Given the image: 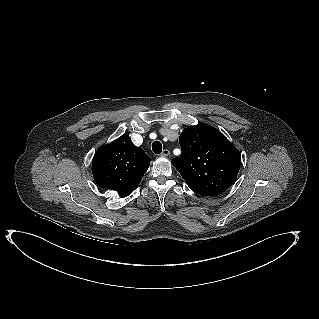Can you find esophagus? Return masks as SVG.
Returning a JSON list of instances; mask_svg holds the SVG:
<instances>
[{
    "label": "esophagus",
    "mask_w": 319,
    "mask_h": 319,
    "mask_svg": "<svg viewBox=\"0 0 319 319\" xmlns=\"http://www.w3.org/2000/svg\"><path fill=\"white\" fill-rule=\"evenodd\" d=\"M163 156H169L170 151L168 149H164L161 153Z\"/></svg>",
    "instance_id": "esophagus-1"
}]
</instances>
